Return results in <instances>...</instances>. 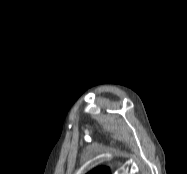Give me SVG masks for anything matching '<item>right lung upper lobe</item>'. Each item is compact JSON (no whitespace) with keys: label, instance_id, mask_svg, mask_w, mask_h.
<instances>
[{"label":"right lung upper lobe","instance_id":"right-lung-upper-lobe-1","mask_svg":"<svg viewBox=\"0 0 187 174\" xmlns=\"http://www.w3.org/2000/svg\"><path fill=\"white\" fill-rule=\"evenodd\" d=\"M88 174H109V169L107 167H98Z\"/></svg>","mask_w":187,"mask_h":174}]
</instances>
